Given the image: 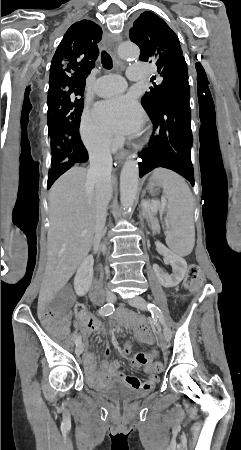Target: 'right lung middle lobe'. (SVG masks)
I'll list each match as a JSON object with an SVG mask.
<instances>
[{"label":"right lung middle lobe","instance_id":"1","mask_svg":"<svg viewBox=\"0 0 241 450\" xmlns=\"http://www.w3.org/2000/svg\"><path fill=\"white\" fill-rule=\"evenodd\" d=\"M84 90L64 88L48 97V135L51 146V164L66 162L72 155L63 130L78 127L83 110Z\"/></svg>","mask_w":241,"mask_h":450}]
</instances>
